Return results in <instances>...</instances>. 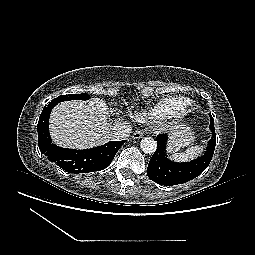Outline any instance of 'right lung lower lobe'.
<instances>
[{
  "instance_id": "98d812e1",
  "label": "right lung lower lobe",
  "mask_w": 255,
  "mask_h": 255,
  "mask_svg": "<svg viewBox=\"0 0 255 255\" xmlns=\"http://www.w3.org/2000/svg\"><path fill=\"white\" fill-rule=\"evenodd\" d=\"M49 111L44 112L38 122L39 149L50 161L70 173L100 171L110 165L114 156L125 141H111L104 145L75 150L61 148L51 142L48 128Z\"/></svg>"
}]
</instances>
